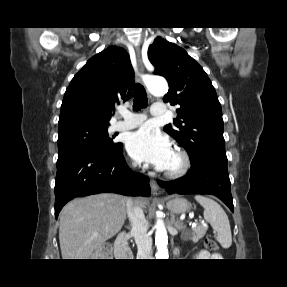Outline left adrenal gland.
Listing matches in <instances>:
<instances>
[{
    "instance_id": "a2214340",
    "label": "left adrenal gland",
    "mask_w": 287,
    "mask_h": 287,
    "mask_svg": "<svg viewBox=\"0 0 287 287\" xmlns=\"http://www.w3.org/2000/svg\"><path fill=\"white\" fill-rule=\"evenodd\" d=\"M171 224H173L176 228L182 229L183 225L181 221L175 220V215L171 214Z\"/></svg>"
}]
</instances>
